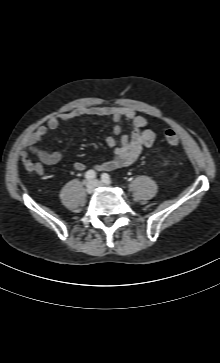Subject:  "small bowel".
<instances>
[{"mask_svg":"<svg viewBox=\"0 0 220 363\" xmlns=\"http://www.w3.org/2000/svg\"><path fill=\"white\" fill-rule=\"evenodd\" d=\"M82 116L109 117L113 121V134L106 140L107 145L114 150V157L96 166L99 171H110L116 168L132 165L139 158L144 148H149L155 141V133L148 127V121L135 110L128 107H81L63 114L61 117H53L45 124L39 126L30 136L21 151V162L24 168L38 174L43 179L50 176L45 172L43 165H54L62 158L60 151L47 152L39 148L43 137L48 131L56 130L62 121H71ZM125 121L132 126L130 136L121 135V122ZM33 154L37 161H31L28 157ZM76 171L86 169L84 162L77 161L73 164Z\"/></svg>","mask_w":220,"mask_h":363,"instance_id":"c3829d8e","label":"small bowel"}]
</instances>
